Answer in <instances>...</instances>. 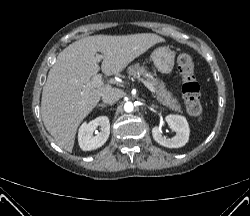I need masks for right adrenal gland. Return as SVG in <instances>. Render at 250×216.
<instances>
[{"instance_id": "1", "label": "right adrenal gland", "mask_w": 250, "mask_h": 216, "mask_svg": "<svg viewBox=\"0 0 250 216\" xmlns=\"http://www.w3.org/2000/svg\"><path fill=\"white\" fill-rule=\"evenodd\" d=\"M98 106H99V107H103V108L106 107L105 104H99Z\"/></svg>"}]
</instances>
